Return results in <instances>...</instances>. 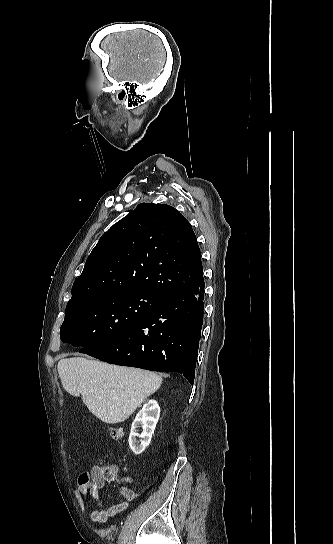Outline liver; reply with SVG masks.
Wrapping results in <instances>:
<instances>
[{
  "label": "liver",
  "instance_id": "1",
  "mask_svg": "<svg viewBox=\"0 0 333 544\" xmlns=\"http://www.w3.org/2000/svg\"><path fill=\"white\" fill-rule=\"evenodd\" d=\"M58 374L63 388L81 394L89 411L107 424L126 420L162 384L154 372L84 357L61 359Z\"/></svg>",
  "mask_w": 333,
  "mask_h": 544
}]
</instances>
